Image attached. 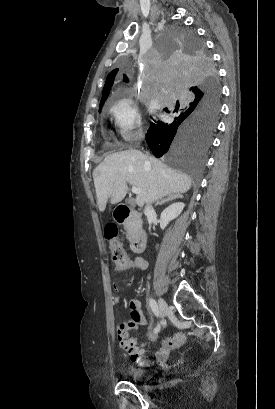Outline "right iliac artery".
I'll return each instance as SVG.
<instances>
[{
  "instance_id": "right-iliac-artery-1",
  "label": "right iliac artery",
  "mask_w": 275,
  "mask_h": 409,
  "mask_svg": "<svg viewBox=\"0 0 275 409\" xmlns=\"http://www.w3.org/2000/svg\"><path fill=\"white\" fill-rule=\"evenodd\" d=\"M148 303H149V306H150V308H151V310H152V312L156 315V316H158V313H159V311H158V306H157V304H156V301L154 300V299H149L148 300ZM160 324H158L157 326H156V328L154 329V332L155 333H158L159 331H160Z\"/></svg>"
}]
</instances>
